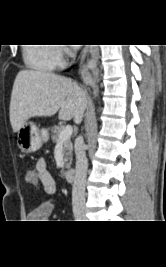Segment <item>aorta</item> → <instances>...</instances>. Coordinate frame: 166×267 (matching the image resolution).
Returning <instances> with one entry per match:
<instances>
[{"label": "aorta", "mask_w": 166, "mask_h": 267, "mask_svg": "<svg viewBox=\"0 0 166 267\" xmlns=\"http://www.w3.org/2000/svg\"><path fill=\"white\" fill-rule=\"evenodd\" d=\"M90 64H91V66H92L93 69H94V70H93V74H94V78H95V81H96V75H97V73H96V71H95V68H96V62H95V61H91ZM98 92H99L98 85H96V86H94V89H93V94H94L95 97L98 96Z\"/></svg>", "instance_id": "aorta-1"}]
</instances>
